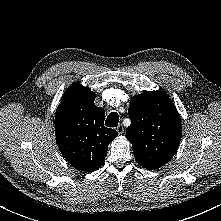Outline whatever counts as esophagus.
I'll list each match as a JSON object with an SVG mask.
<instances>
[{
    "label": "esophagus",
    "instance_id": "1",
    "mask_svg": "<svg viewBox=\"0 0 221 221\" xmlns=\"http://www.w3.org/2000/svg\"><path fill=\"white\" fill-rule=\"evenodd\" d=\"M116 131L119 133V134H122L124 132V127L122 124H119L117 127H116Z\"/></svg>",
    "mask_w": 221,
    "mask_h": 221
}]
</instances>
